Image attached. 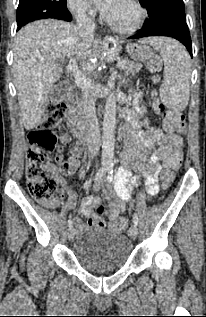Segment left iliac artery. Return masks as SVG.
<instances>
[{
  "instance_id": "obj_1",
  "label": "left iliac artery",
  "mask_w": 206,
  "mask_h": 317,
  "mask_svg": "<svg viewBox=\"0 0 206 317\" xmlns=\"http://www.w3.org/2000/svg\"><path fill=\"white\" fill-rule=\"evenodd\" d=\"M108 172L112 174L113 171H112V169H109ZM133 222L135 225H138L139 218H138L137 214L133 215Z\"/></svg>"
}]
</instances>
